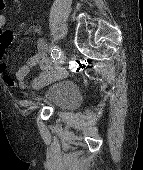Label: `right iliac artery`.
I'll return each mask as SVG.
<instances>
[{
    "mask_svg": "<svg viewBox=\"0 0 143 170\" xmlns=\"http://www.w3.org/2000/svg\"><path fill=\"white\" fill-rule=\"evenodd\" d=\"M61 56V51L58 48H53L51 50V57L53 60H58Z\"/></svg>",
    "mask_w": 143,
    "mask_h": 170,
    "instance_id": "82829eb1",
    "label": "right iliac artery"
}]
</instances>
